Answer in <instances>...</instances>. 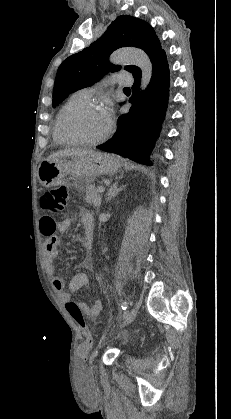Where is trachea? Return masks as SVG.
Here are the masks:
<instances>
[{"label":"trachea","mask_w":231,"mask_h":419,"mask_svg":"<svg viewBox=\"0 0 231 419\" xmlns=\"http://www.w3.org/2000/svg\"><path fill=\"white\" fill-rule=\"evenodd\" d=\"M124 90H129V88L128 87H125Z\"/></svg>","instance_id":"trachea-1"}]
</instances>
